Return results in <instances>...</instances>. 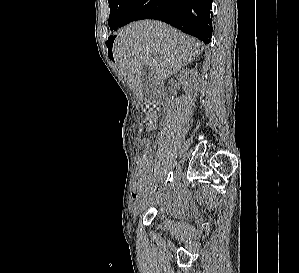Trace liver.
Returning <instances> with one entry per match:
<instances>
[{"label": "liver", "mask_w": 299, "mask_h": 273, "mask_svg": "<svg viewBox=\"0 0 299 273\" xmlns=\"http://www.w3.org/2000/svg\"><path fill=\"white\" fill-rule=\"evenodd\" d=\"M203 44L193 37L158 21L131 23L117 33L113 56L117 67L137 98L143 99L141 70L153 68L158 86L182 67L197 58Z\"/></svg>", "instance_id": "obj_1"}]
</instances>
